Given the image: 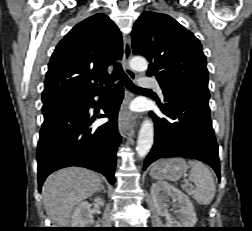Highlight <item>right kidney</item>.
Wrapping results in <instances>:
<instances>
[{"instance_id":"right-kidney-1","label":"right kidney","mask_w":252,"mask_h":231,"mask_svg":"<svg viewBox=\"0 0 252 231\" xmlns=\"http://www.w3.org/2000/svg\"><path fill=\"white\" fill-rule=\"evenodd\" d=\"M95 202L103 206L104 200L100 197L95 198ZM93 215L88 202H81V204L74 210L71 220L73 228H87L93 224Z\"/></svg>"}]
</instances>
